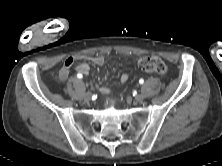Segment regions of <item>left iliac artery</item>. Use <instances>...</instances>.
Returning a JSON list of instances; mask_svg holds the SVG:
<instances>
[{
    "label": "left iliac artery",
    "instance_id": "left-iliac-artery-1",
    "mask_svg": "<svg viewBox=\"0 0 222 166\" xmlns=\"http://www.w3.org/2000/svg\"><path fill=\"white\" fill-rule=\"evenodd\" d=\"M139 83H140V84H143V83H144V80H143V79H140V80H139Z\"/></svg>",
    "mask_w": 222,
    "mask_h": 166
}]
</instances>
